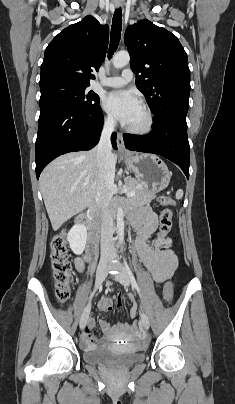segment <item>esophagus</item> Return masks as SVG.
I'll use <instances>...</instances> for the list:
<instances>
[{"label": "esophagus", "mask_w": 235, "mask_h": 404, "mask_svg": "<svg viewBox=\"0 0 235 404\" xmlns=\"http://www.w3.org/2000/svg\"><path fill=\"white\" fill-rule=\"evenodd\" d=\"M115 6L119 7L120 4L116 3ZM117 147H118V151H119L120 154H127L128 153V150L125 148V145H124L123 135L120 132L117 133Z\"/></svg>", "instance_id": "esophagus-1"}]
</instances>
